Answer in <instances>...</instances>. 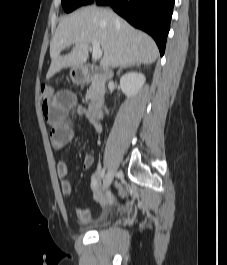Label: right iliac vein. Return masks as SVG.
Returning <instances> with one entry per match:
<instances>
[{
	"label": "right iliac vein",
	"mask_w": 227,
	"mask_h": 265,
	"mask_svg": "<svg viewBox=\"0 0 227 265\" xmlns=\"http://www.w3.org/2000/svg\"><path fill=\"white\" fill-rule=\"evenodd\" d=\"M115 172L109 171L104 179V188H108L113 180Z\"/></svg>",
	"instance_id": "right-iliac-vein-1"
}]
</instances>
